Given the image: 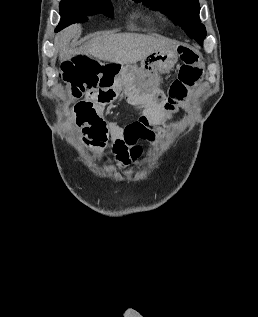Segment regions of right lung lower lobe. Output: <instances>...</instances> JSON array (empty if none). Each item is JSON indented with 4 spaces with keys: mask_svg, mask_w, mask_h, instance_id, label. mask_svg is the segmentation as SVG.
I'll list each match as a JSON object with an SVG mask.
<instances>
[{
    "mask_svg": "<svg viewBox=\"0 0 258 317\" xmlns=\"http://www.w3.org/2000/svg\"><path fill=\"white\" fill-rule=\"evenodd\" d=\"M60 15H61V21L58 27L56 28V31L61 30L62 28L68 26L69 24L75 23V22H85L88 20L89 16L83 14L79 10L75 9H60Z\"/></svg>",
    "mask_w": 258,
    "mask_h": 317,
    "instance_id": "obj_1",
    "label": "right lung lower lobe"
}]
</instances>
